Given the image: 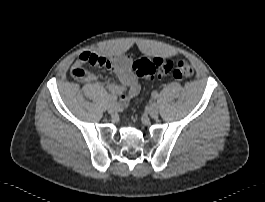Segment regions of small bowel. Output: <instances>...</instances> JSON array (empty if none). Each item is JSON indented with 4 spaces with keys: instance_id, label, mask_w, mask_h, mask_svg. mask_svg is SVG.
<instances>
[{
    "instance_id": "c3829d8e",
    "label": "small bowel",
    "mask_w": 265,
    "mask_h": 202,
    "mask_svg": "<svg viewBox=\"0 0 265 202\" xmlns=\"http://www.w3.org/2000/svg\"><path fill=\"white\" fill-rule=\"evenodd\" d=\"M84 65L105 67L116 74L119 82L108 83L105 87L113 96H118L123 105L140 92V85L131 74L132 61L126 55L107 56L99 52L84 51L79 55L76 67ZM82 79L88 83H97V77L90 72H86Z\"/></svg>"
}]
</instances>
